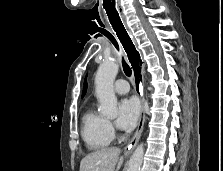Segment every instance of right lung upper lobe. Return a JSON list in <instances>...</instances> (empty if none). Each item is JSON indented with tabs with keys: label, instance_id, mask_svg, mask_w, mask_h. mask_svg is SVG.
Listing matches in <instances>:
<instances>
[{
	"label": "right lung upper lobe",
	"instance_id": "obj_1",
	"mask_svg": "<svg viewBox=\"0 0 223 171\" xmlns=\"http://www.w3.org/2000/svg\"><path fill=\"white\" fill-rule=\"evenodd\" d=\"M86 90H87V84H85V86H84L83 93H82V97L85 95Z\"/></svg>",
	"mask_w": 223,
	"mask_h": 171
}]
</instances>
